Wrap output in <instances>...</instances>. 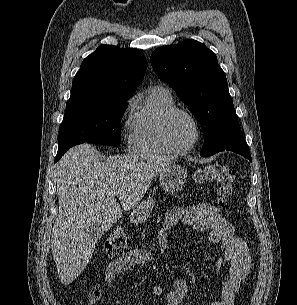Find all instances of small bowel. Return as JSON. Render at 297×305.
<instances>
[{
	"instance_id": "small-bowel-1",
	"label": "small bowel",
	"mask_w": 297,
	"mask_h": 305,
	"mask_svg": "<svg viewBox=\"0 0 297 305\" xmlns=\"http://www.w3.org/2000/svg\"><path fill=\"white\" fill-rule=\"evenodd\" d=\"M178 224H185L198 232L210 231V243H220L224 256L215 262V269L220 272L226 268L225 277L218 281L219 298L210 305H234L237 292L246 280L251 268V255L245 242L235 235L234 227L221 214V211L208 203H199L192 207H177L170 209L165 216L158 233V246L162 253L170 251L167 231ZM152 255L149 251L135 249L111 262L105 272L106 289L112 285L115 277L135 266L151 263ZM152 295L161 297L165 290L156 286ZM188 292L185 280L177 279L173 289L166 296V305H180ZM104 294V288L96 285L89 294V305L96 304Z\"/></svg>"
}]
</instances>
